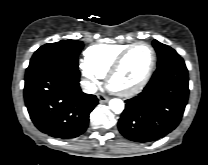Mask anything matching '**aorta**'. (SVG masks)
Instances as JSON below:
<instances>
[{"label": "aorta", "mask_w": 208, "mask_h": 165, "mask_svg": "<svg viewBox=\"0 0 208 165\" xmlns=\"http://www.w3.org/2000/svg\"><path fill=\"white\" fill-rule=\"evenodd\" d=\"M109 107L114 113L119 114L124 110V102L121 99L114 98L109 101Z\"/></svg>", "instance_id": "762f6f07"}]
</instances>
